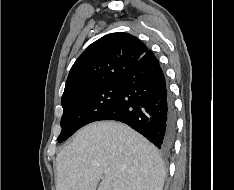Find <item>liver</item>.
Here are the masks:
<instances>
[{
  "label": "liver",
  "instance_id": "obj_1",
  "mask_svg": "<svg viewBox=\"0 0 234 190\" xmlns=\"http://www.w3.org/2000/svg\"><path fill=\"white\" fill-rule=\"evenodd\" d=\"M56 167V190H96L100 180L98 190H163L165 180L154 145L115 121L80 129L57 155Z\"/></svg>",
  "mask_w": 234,
  "mask_h": 190
}]
</instances>
